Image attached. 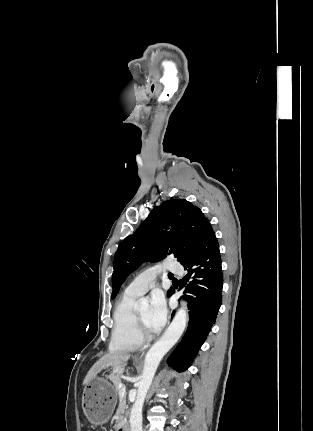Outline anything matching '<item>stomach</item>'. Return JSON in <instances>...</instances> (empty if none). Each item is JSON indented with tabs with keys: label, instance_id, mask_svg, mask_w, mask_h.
<instances>
[{
	"label": "stomach",
	"instance_id": "1",
	"mask_svg": "<svg viewBox=\"0 0 313 431\" xmlns=\"http://www.w3.org/2000/svg\"><path fill=\"white\" fill-rule=\"evenodd\" d=\"M117 400L108 378L95 377L86 383L82 395L83 411L93 425H102L111 417Z\"/></svg>",
	"mask_w": 313,
	"mask_h": 431
}]
</instances>
